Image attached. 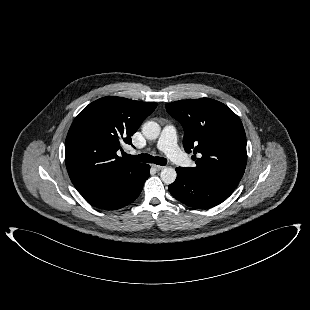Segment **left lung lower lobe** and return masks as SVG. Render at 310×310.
Masks as SVG:
<instances>
[{"label":"left lung lower lobe","instance_id":"obj_1","mask_svg":"<svg viewBox=\"0 0 310 310\" xmlns=\"http://www.w3.org/2000/svg\"><path fill=\"white\" fill-rule=\"evenodd\" d=\"M177 178L169 185L171 195L194 208H211L226 200L235 188L176 168Z\"/></svg>","mask_w":310,"mask_h":310}]
</instances>
